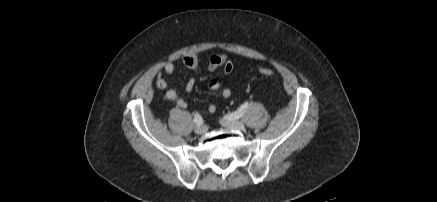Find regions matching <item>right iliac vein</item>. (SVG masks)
Instances as JSON below:
<instances>
[{"label": "right iliac vein", "mask_w": 437, "mask_h": 202, "mask_svg": "<svg viewBox=\"0 0 437 202\" xmlns=\"http://www.w3.org/2000/svg\"><path fill=\"white\" fill-rule=\"evenodd\" d=\"M194 131L197 134H203L206 132V126L205 125H197V126H195Z\"/></svg>", "instance_id": "obj_1"}]
</instances>
